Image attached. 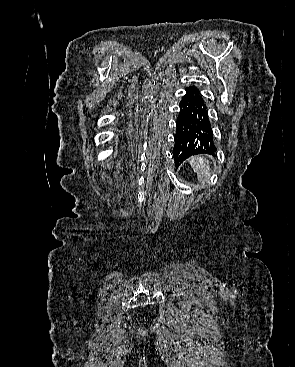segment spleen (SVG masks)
Here are the masks:
<instances>
[{"label": "spleen", "instance_id": "3e777b00", "mask_svg": "<svg viewBox=\"0 0 295 367\" xmlns=\"http://www.w3.org/2000/svg\"><path fill=\"white\" fill-rule=\"evenodd\" d=\"M190 164H191L194 172H196L198 180L202 184H205L207 179L210 176L209 161L204 157L194 156V157L191 158Z\"/></svg>", "mask_w": 295, "mask_h": 367}]
</instances>
